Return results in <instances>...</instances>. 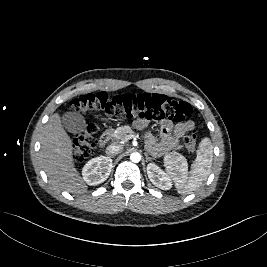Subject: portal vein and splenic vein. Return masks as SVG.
I'll use <instances>...</instances> for the list:
<instances>
[{
	"instance_id": "1",
	"label": "portal vein and splenic vein",
	"mask_w": 267,
	"mask_h": 267,
	"mask_svg": "<svg viewBox=\"0 0 267 267\" xmlns=\"http://www.w3.org/2000/svg\"><path fill=\"white\" fill-rule=\"evenodd\" d=\"M130 138H132L131 135L127 136V137H126V141L129 140Z\"/></svg>"
}]
</instances>
